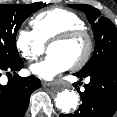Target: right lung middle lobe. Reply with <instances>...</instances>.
Masks as SVG:
<instances>
[{
	"instance_id": "obj_1",
	"label": "right lung middle lobe",
	"mask_w": 117,
	"mask_h": 117,
	"mask_svg": "<svg viewBox=\"0 0 117 117\" xmlns=\"http://www.w3.org/2000/svg\"><path fill=\"white\" fill-rule=\"evenodd\" d=\"M45 5L42 2L28 5H0V63H8L20 59L16 47L17 31L32 13Z\"/></svg>"
}]
</instances>
